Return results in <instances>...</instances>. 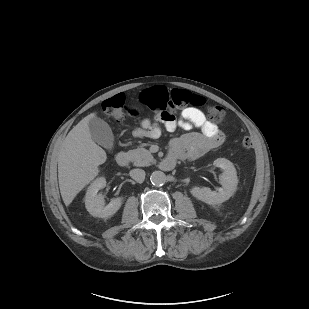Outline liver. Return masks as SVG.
<instances>
[{
	"mask_svg": "<svg viewBox=\"0 0 309 309\" xmlns=\"http://www.w3.org/2000/svg\"><path fill=\"white\" fill-rule=\"evenodd\" d=\"M96 113L83 118L66 136L58 155V180L63 202L69 206L76 195L99 173L106 152L91 137L88 122Z\"/></svg>",
	"mask_w": 309,
	"mask_h": 309,
	"instance_id": "6515ba94",
	"label": "liver"
}]
</instances>
